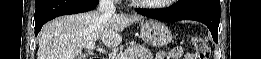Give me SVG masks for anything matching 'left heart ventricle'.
Instances as JSON below:
<instances>
[{
	"instance_id": "obj_1",
	"label": "left heart ventricle",
	"mask_w": 261,
	"mask_h": 59,
	"mask_svg": "<svg viewBox=\"0 0 261 59\" xmlns=\"http://www.w3.org/2000/svg\"><path fill=\"white\" fill-rule=\"evenodd\" d=\"M143 2H145V1H143ZM147 2H165V1L159 0V1H147Z\"/></svg>"
}]
</instances>
